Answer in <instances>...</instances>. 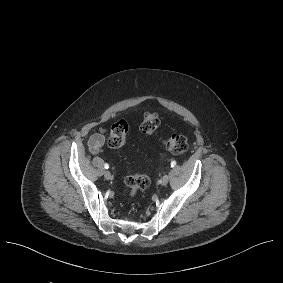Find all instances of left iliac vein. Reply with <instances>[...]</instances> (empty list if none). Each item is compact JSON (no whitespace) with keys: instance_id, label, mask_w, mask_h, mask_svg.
<instances>
[{"instance_id":"1","label":"left iliac vein","mask_w":283,"mask_h":283,"mask_svg":"<svg viewBox=\"0 0 283 283\" xmlns=\"http://www.w3.org/2000/svg\"><path fill=\"white\" fill-rule=\"evenodd\" d=\"M168 181H169V176H168V175H164V176L161 178V180H160V184H161L162 186H165V185H167Z\"/></svg>"}]
</instances>
